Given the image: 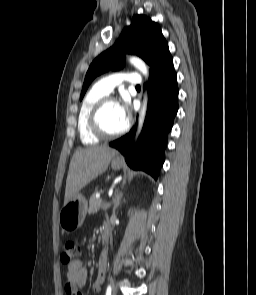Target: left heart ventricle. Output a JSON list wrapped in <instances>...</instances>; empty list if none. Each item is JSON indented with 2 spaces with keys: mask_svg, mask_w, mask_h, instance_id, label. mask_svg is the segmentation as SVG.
<instances>
[{
  "mask_svg": "<svg viewBox=\"0 0 256 295\" xmlns=\"http://www.w3.org/2000/svg\"><path fill=\"white\" fill-rule=\"evenodd\" d=\"M101 123L110 133L117 132L124 127L126 121L120 116L116 102H109L105 106L101 114Z\"/></svg>",
  "mask_w": 256,
  "mask_h": 295,
  "instance_id": "b2bd125f",
  "label": "left heart ventricle"
}]
</instances>
